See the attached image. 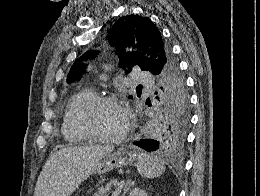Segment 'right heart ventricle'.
Segmentation results:
<instances>
[{
	"label": "right heart ventricle",
	"instance_id": "e07e8e85",
	"mask_svg": "<svg viewBox=\"0 0 260 196\" xmlns=\"http://www.w3.org/2000/svg\"><path fill=\"white\" fill-rule=\"evenodd\" d=\"M96 97L90 88L78 91L67 107L62 122V134L70 145H77L89 140V136L78 127V111L83 110L86 105Z\"/></svg>",
	"mask_w": 260,
	"mask_h": 196
}]
</instances>
